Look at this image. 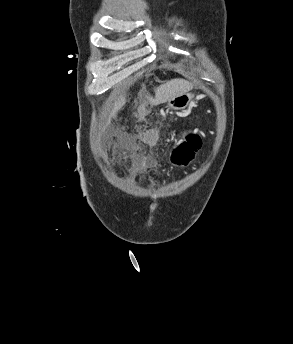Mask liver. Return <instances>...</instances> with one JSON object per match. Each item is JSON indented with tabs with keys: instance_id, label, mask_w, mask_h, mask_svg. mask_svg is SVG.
Returning <instances> with one entry per match:
<instances>
[{
	"instance_id": "6515ba94",
	"label": "liver",
	"mask_w": 293,
	"mask_h": 344,
	"mask_svg": "<svg viewBox=\"0 0 293 344\" xmlns=\"http://www.w3.org/2000/svg\"><path fill=\"white\" fill-rule=\"evenodd\" d=\"M193 88V85L184 79H173L170 80L162 85H160L155 90V97L147 96V100L149 103L158 105L161 103L168 102L170 99L174 97L188 93ZM125 105V97L121 95L117 101H115L113 109L110 113L108 123L111 122V119H115L117 117V113L122 109Z\"/></svg>"
}]
</instances>
